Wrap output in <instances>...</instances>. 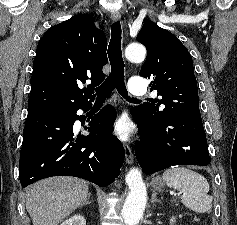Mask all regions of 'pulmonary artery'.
<instances>
[{
	"label": "pulmonary artery",
	"mask_w": 237,
	"mask_h": 225,
	"mask_svg": "<svg viewBox=\"0 0 237 225\" xmlns=\"http://www.w3.org/2000/svg\"><path fill=\"white\" fill-rule=\"evenodd\" d=\"M129 91L134 95H144L146 93V89L143 85L142 79L139 77H132L129 80L128 84Z\"/></svg>",
	"instance_id": "pulmonary-artery-1"
}]
</instances>
